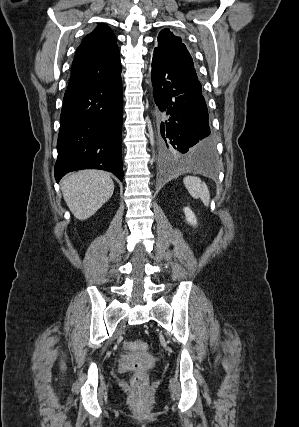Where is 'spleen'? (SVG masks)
Masks as SVG:
<instances>
[{"instance_id":"1","label":"spleen","mask_w":299,"mask_h":427,"mask_svg":"<svg viewBox=\"0 0 299 427\" xmlns=\"http://www.w3.org/2000/svg\"><path fill=\"white\" fill-rule=\"evenodd\" d=\"M183 183L192 197L200 198L205 206L209 205L210 193L205 182L195 176H186Z\"/></svg>"}]
</instances>
